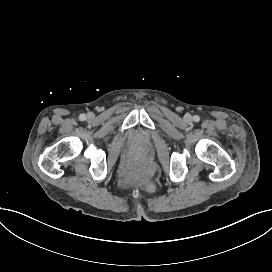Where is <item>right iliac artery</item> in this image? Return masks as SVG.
Masks as SVG:
<instances>
[{
	"label": "right iliac artery",
	"mask_w": 272,
	"mask_h": 272,
	"mask_svg": "<svg viewBox=\"0 0 272 272\" xmlns=\"http://www.w3.org/2000/svg\"><path fill=\"white\" fill-rule=\"evenodd\" d=\"M79 119H80L81 121H84V120L86 119V115H85V114H81V115L79 116Z\"/></svg>",
	"instance_id": "right-iliac-artery-1"
}]
</instances>
